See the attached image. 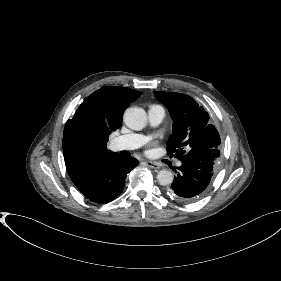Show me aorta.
<instances>
[{"label":"aorta","mask_w":281,"mask_h":281,"mask_svg":"<svg viewBox=\"0 0 281 281\" xmlns=\"http://www.w3.org/2000/svg\"><path fill=\"white\" fill-rule=\"evenodd\" d=\"M123 120L130 129L141 130L147 124V114L142 108L130 107L124 112ZM157 180L161 185H170L173 182V174L168 170H160Z\"/></svg>","instance_id":"762f6f07"}]
</instances>
